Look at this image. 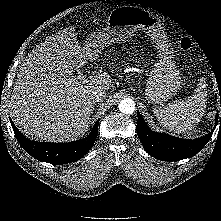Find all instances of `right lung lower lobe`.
<instances>
[{
	"instance_id": "right-lung-lower-lobe-1",
	"label": "right lung lower lobe",
	"mask_w": 221,
	"mask_h": 221,
	"mask_svg": "<svg viewBox=\"0 0 221 221\" xmlns=\"http://www.w3.org/2000/svg\"><path fill=\"white\" fill-rule=\"evenodd\" d=\"M11 121L13 131L23 149L35 159L51 164H67L81 159L93 146L97 134V120L86 138L69 143L37 142L27 139Z\"/></svg>"
}]
</instances>
